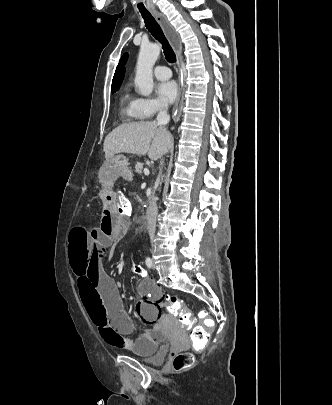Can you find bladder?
Masks as SVG:
<instances>
[{
    "instance_id": "obj_1",
    "label": "bladder",
    "mask_w": 332,
    "mask_h": 405,
    "mask_svg": "<svg viewBox=\"0 0 332 405\" xmlns=\"http://www.w3.org/2000/svg\"><path fill=\"white\" fill-rule=\"evenodd\" d=\"M167 338L163 336V340L160 343L152 344V350L149 353L133 350L131 353L139 358H143L153 364H162L165 361L167 354Z\"/></svg>"
}]
</instances>
